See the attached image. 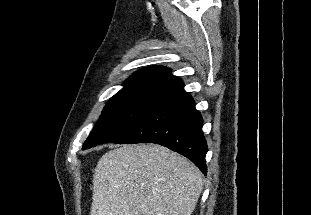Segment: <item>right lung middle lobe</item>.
Returning <instances> with one entry per match:
<instances>
[{
  "instance_id": "obj_1",
  "label": "right lung middle lobe",
  "mask_w": 311,
  "mask_h": 215,
  "mask_svg": "<svg viewBox=\"0 0 311 215\" xmlns=\"http://www.w3.org/2000/svg\"><path fill=\"white\" fill-rule=\"evenodd\" d=\"M169 86L148 85L124 87L106 104L83 150L109 143L124 135L164 96Z\"/></svg>"
}]
</instances>
